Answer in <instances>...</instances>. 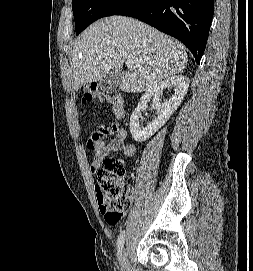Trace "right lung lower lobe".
Returning <instances> with one entry per match:
<instances>
[{"label":"right lung lower lobe","instance_id":"1","mask_svg":"<svg viewBox=\"0 0 253 271\" xmlns=\"http://www.w3.org/2000/svg\"><path fill=\"white\" fill-rule=\"evenodd\" d=\"M214 13V0H126L113 15L137 18L179 39L199 64Z\"/></svg>","mask_w":253,"mask_h":271}]
</instances>
